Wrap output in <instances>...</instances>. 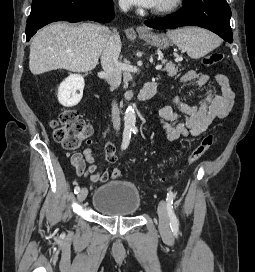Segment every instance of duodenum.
I'll return each mask as SVG.
<instances>
[{
    "label": "duodenum",
    "mask_w": 255,
    "mask_h": 272,
    "mask_svg": "<svg viewBox=\"0 0 255 272\" xmlns=\"http://www.w3.org/2000/svg\"><path fill=\"white\" fill-rule=\"evenodd\" d=\"M156 90H157L156 81L151 80L146 82L137 96V101L146 102L150 100L155 95Z\"/></svg>",
    "instance_id": "1"
}]
</instances>
